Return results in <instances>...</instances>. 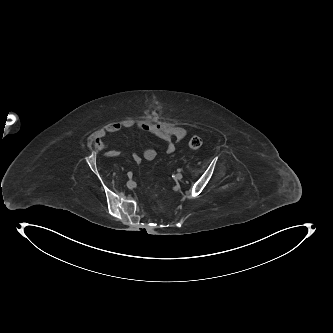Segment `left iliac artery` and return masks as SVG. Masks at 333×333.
<instances>
[{
  "instance_id": "left-iliac-artery-1",
  "label": "left iliac artery",
  "mask_w": 333,
  "mask_h": 333,
  "mask_svg": "<svg viewBox=\"0 0 333 333\" xmlns=\"http://www.w3.org/2000/svg\"><path fill=\"white\" fill-rule=\"evenodd\" d=\"M181 171H182V168H179V169H178V172H181Z\"/></svg>"
}]
</instances>
